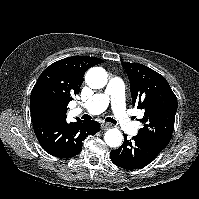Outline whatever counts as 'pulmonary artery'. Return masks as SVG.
Here are the masks:
<instances>
[{
  "label": "pulmonary artery",
  "instance_id": "pulmonary-artery-1",
  "mask_svg": "<svg viewBox=\"0 0 199 199\" xmlns=\"http://www.w3.org/2000/svg\"><path fill=\"white\" fill-rule=\"evenodd\" d=\"M109 104L111 105L113 116L121 128L130 134H135L137 127L125 108L124 83L118 77H112L103 93L92 96L79 106L76 111H85L96 115L103 112Z\"/></svg>",
  "mask_w": 199,
  "mask_h": 199
}]
</instances>
